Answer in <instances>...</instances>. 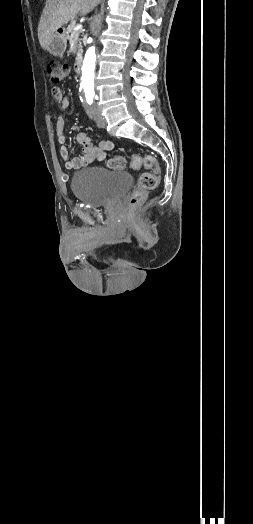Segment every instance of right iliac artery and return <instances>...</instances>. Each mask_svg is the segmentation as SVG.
<instances>
[{
	"label": "right iliac artery",
	"instance_id": "82829eb1",
	"mask_svg": "<svg viewBox=\"0 0 253 524\" xmlns=\"http://www.w3.org/2000/svg\"><path fill=\"white\" fill-rule=\"evenodd\" d=\"M85 109H86V113L89 116V118L93 119L94 118L93 106H91V104L87 105Z\"/></svg>",
	"mask_w": 253,
	"mask_h": 524
}]
</instances>
